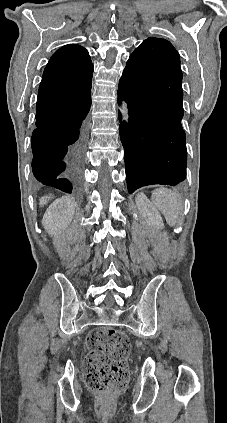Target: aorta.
<instances>
[{"mask_svg": "<svg viewBox=\"0 0 227 423\" xmlns=\"http://www.w3.org/2000/svg\"><path fill=\"white\" fill-rule=\"evenodd\" d=\"M121 111H122L123 120H125V121L128 122V120H129V114H128L129 111H128V106H127V103L126 102H123L122 103Z\"/></svg>", "mask_w": 227, "mask_h": 423, "instance_id": "obj_1", "label": "aorta"}]
</instances>
